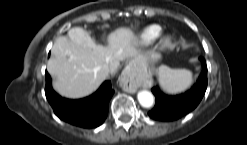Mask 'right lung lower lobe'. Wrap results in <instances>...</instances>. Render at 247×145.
Masks as SVG:
<instances>
[{"instance_id": "1", "label": "right lung lower lobe", "mask_w": 247, "mask_h": 145, "mask_svg": "<svg viewBox=\"0 0 247 145\" xmlns=\"http://www.w3.org/2000/svg\"><path fill=\"white\" fill-rule=\"evenodd\" d=\"M45 94L54 113L65 122L83 128H95L101 125L108 113V103L114 91L111 82H104L93 95L79 100L60 97L51 86V78L45 73Z\"/></svg>"}]
</instances>
